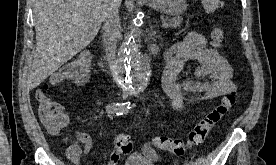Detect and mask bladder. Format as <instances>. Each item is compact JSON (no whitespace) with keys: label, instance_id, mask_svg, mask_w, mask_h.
<instances>
[{"label":"bladder","instance_id":"bladder-1","mask_svg":"<svg viewBox=\"0 0 276 165\" xmlns=\"http://www.w3.org/2000/svg\"><path fill=\"white\" fill-rule=\"evenodd\" d=\"M123 165H154L150 160L147 158L133 154L131 155Z\"/></svg>","mask_w":276,"mask_h":165}]
</instances>
